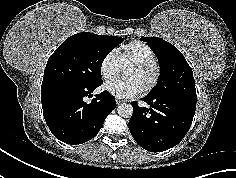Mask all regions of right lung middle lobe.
Returning <instances> with one entry per match:
<instances>
[{
	"label": "right lung middle lobe",
	"mask_w": 236,
	"mask_h": 178,
	"mask_svg": "<svg viewBox=\"0 0 236 178\" xmlns=\"http://www.w3.org/2000/svg\"><path fill=\"white\" fill-rule=\"evenodd\" d=\"M117 36L78 33L67 38L49 57L43 83L64 82L77 86H99L105 57L121 42Z\"/></svg>",
	"instance_id": "obj_1"
}]
</instances>
